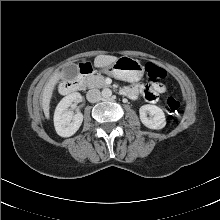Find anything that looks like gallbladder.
<instances>
[{
    "mask_svg": "<svg viewBox=\"0 0 220 220\" xmlns=\"http://www.w3.org/2000/svg\"><path fill=\"white\" fill-rule=\"evenodd\" d=\"M65 73L69 78H75L78 73V66L76 64H70L66 67Z\"/></svg>",
    "mask_w": 220,
    "mask_h": 220,
    "instance_id": "obj_1",
    "label": "gallbladder"
}]
</instances>
